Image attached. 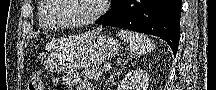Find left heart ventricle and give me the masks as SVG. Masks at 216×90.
I'll return each mask as SVG.
<instances>
[{"instance_id":"obj_1","label":"left heart ventricle","mask_w":216,"mask_h":90,"mask_svg":"<svg viewBox=\"0 0 216 90\" xmlns=\"http://www.w3.org/2000/svg\"><path fill=\"white\" fill-rule=\"evenodd\" d=\"M67 1L66 10H61L58 21L70 24L72 20L82 21L94 14L98 8L99 0H59Z\"/></svg>"}]
</instances>
